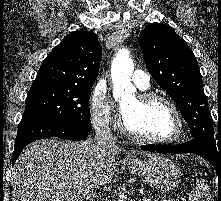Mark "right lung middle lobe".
Here are the masks:
<instances>
[{
    "instance_id": "1",
    "label": "right lung middle lobe",
    "mask_w": 221,
    "mask_h": 201,
    "mask_svg": "<svg viewBox=\"0 0 221 201\" xmlns=\"http://www.w3.org/2000/svg\"><path fill=\"white\" fill-rule=\"evenodd\" d=\"M90 95L91 89L31 88L21 121L56 119L90 128Z\"/></svg>"
}]
</instances>
